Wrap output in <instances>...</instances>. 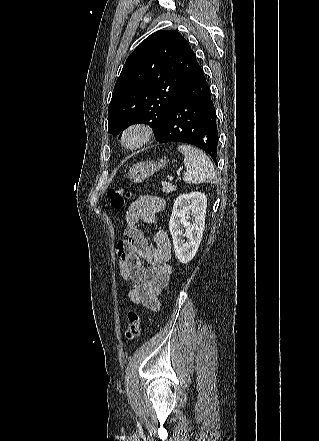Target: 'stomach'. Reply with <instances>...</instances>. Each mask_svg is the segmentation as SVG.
<instances>
[{
	"instance_id": "stomach-1",
	"label": "stomach",
	"mask_w": 319,
	"mask_h": 441,
	"mask_svg": "<svg viewBox=\"0 0 319 441\" xmlns=\"http://www.w3.org/2000/svg\"><path fill=\"white\" fill-rule=\"evenodd\" d=\"M166 165V159H161L158 162L152 161L134 164L128 172V179L134 183H140Z\"/></svg>"
}]
</instances>
